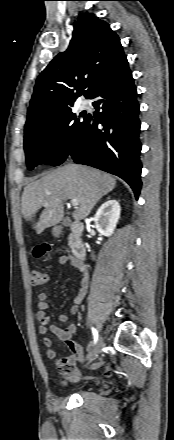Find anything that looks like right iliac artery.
I'll use <instances>...</instances> for the list:
<instances>
[{
  "instance_id": "1",
  "label": "right iliac artery",
  "mask_w": 174,
  "mask_h": 440,
  "mask_svg": "<svg viewBox=\"0 0 174 440\" xmlns=\"http://www.w3.org/2000/svg\"><path fill=\"white\" fill-rule=\"evenodd\" d=\"M92 333H93V337H94V344L97 342L98 340V332L95 328L92 327Z\"/></svg>"
}]
</instances>
